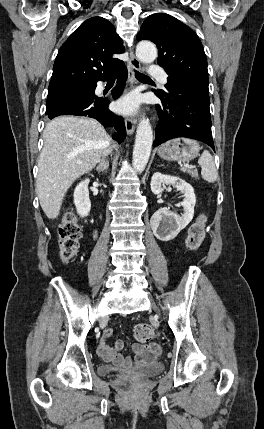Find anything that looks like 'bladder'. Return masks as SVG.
<instances>
[{"label": "bladder", "instance_id": "obj_1", "mask_svg": "<svg viewBox=\"0 0 264 429\" xmlns=\"http://www.w3.org/2000/svg\"><path fill=\"white\" fill-rule=\"evenodd\" d=\"M164 370V365L155 361L146 365L139 366L135 369L134 374L139 378H150L160 374ZM114 372V369L110 366H102L100 373L102 375H108Z\"/></svg>", "mask_w": 264, "mask_h": 429}]
</instances>
